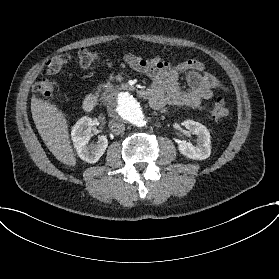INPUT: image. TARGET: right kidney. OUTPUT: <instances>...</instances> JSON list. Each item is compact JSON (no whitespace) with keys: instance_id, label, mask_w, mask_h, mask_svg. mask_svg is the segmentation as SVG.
<instances>
[{"instance_id":"obj_1","label":"right kidney","mask_w":279,"mask_h":279,"mask_svg":"<svg viewBox=\"0 0 279 279\" xmlns=\"http://www.w3.org/2000/svg\"><path fill=\"white\" fill-rule=\"evenodd\" d=\"M93 136V123L90 117L81 118L72 129V138L78 156L87 163H97L105 153L108 140L101 135L97 143L89 145L90 138Z\"/></svg>"}]
</instances>
